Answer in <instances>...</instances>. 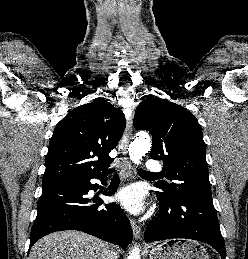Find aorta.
<instances>
[{
    "label": "aorta",
    "instance_id": "obj_1",
    "mask_svg": "<svg viewBox=\"0 0 248 259\" xmlns=\"http://www.w3.org/2000/svg\"><path fill=\"white\" fill-rule=\"evenodd\" d=\"M151 148V143L146 134H140L134 139L130 145L129 155L130 159L135 163L139 164L142 156L145 155ZM138 251L132 252V255L128 259H137Z\"/></svg>",
    "mask_w": 248,
    "mask_h": 259
}]
</instances>
